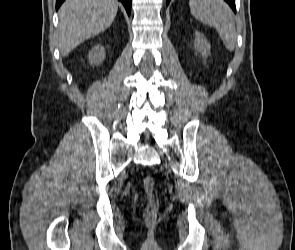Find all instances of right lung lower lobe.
I'll return each instance as SVG.
<instances>
[{"label":"right lung lower lobe","instance_id":"98d812e1","mask_svg":"<svg viewBox=\"0 0 295 250\" xmlns=\"http://www.w3.org/2000/svg\"><path fill=\"white\" fill-rule=\"evenodd\" d=\"M64 1L65 0H56V10L59 9L62 2H64ZM119 1L123 3L128 15H130V12H131V0H119Z\"/></svg>","mask_w":295,"mask_h":250}]
</instances>
